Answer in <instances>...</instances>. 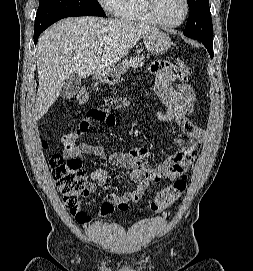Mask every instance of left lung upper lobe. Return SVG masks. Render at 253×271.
Instances as JSON below:
<instances>
[{"instance_id":"1","label":"left lung upper lobe","mask_w":253,"mask_h":271,"mask_svg":"<svg viewBox=\"0 0 253 271\" xmlns=\"http://www.w3.org/2000/svg\"><path fill=\"white\" fill-rule=\"evenodd\" d=\"M190 15L184 35L203 41H213L209 0H188Z\"/></svg>"}]
</instances>
